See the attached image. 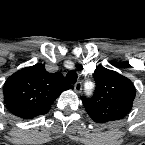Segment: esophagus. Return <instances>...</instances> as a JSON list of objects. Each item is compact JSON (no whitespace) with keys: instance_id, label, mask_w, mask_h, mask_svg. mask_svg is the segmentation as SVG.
Returning a JSON list of instances; mask_svg holds the SVG:
<instances>
[{"instance_id":"34e87169","label":"esophagus","mask_w":145,"mask_h":145,"mask_svg":"<svg viewBox=\"0 0 145 145\" xmlns=\"http://www.w3.org/2000/svg\"><path fill=\"white\" fill-rule=\"evenodd\" d=\"M74 90L76 93H80L82 90V83L80 81H78L75 85H74Z\"/></svg>"}]
</instances>
